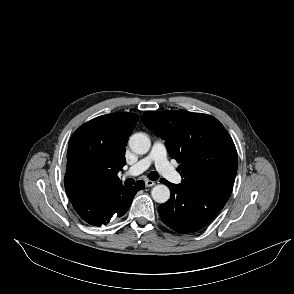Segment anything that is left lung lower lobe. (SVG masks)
<instances>
[{
	"instance_id": "left-lung-lower-lobe-1",
	"label": "left lung lower lobe",
	"mask_w": 294,
	"mask_h": 294,
	"mask_svg": "<svg viewBox=\"0 0 294 294\" xmlns=\"http://www.w3.org/2000/svg\"><path fill=\"white\" fill-rule=\"evenodd\" d=\"M170 191V199L159 206L162 221L179 233L200 230L220 212L232 187L222 184L183 186L161 180Z\"/></svg>"
}]
</instances>
